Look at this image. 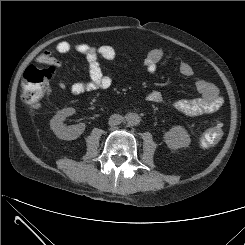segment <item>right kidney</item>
Instances as JSON below:
<instances>
[{"mask_svg":"<svg viewBox=\"0 0 245 245\" xmlns=\"http://www.w3.org/2000/svg\"><path fill=\"white\" fill-rule=\"evenodd\" d=\"M74 113V108H64L58 111L57 114L50 120V127L58 138L62 140H74L84 132V123L71 126H65L63 124L66 117L73 115Z\"/></svg>","mask_w":245,"mask_h":245,"instance_id":"ca27d5eb","label":"right kidney"}]
</instances>
